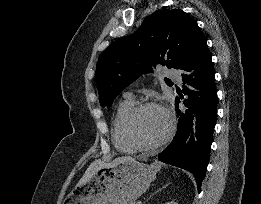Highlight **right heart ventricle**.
<instances>
[{
	"mask_svg": "<svg viewBox=\"0 0 261 204\" xmlns=\"http://www.w3.org/2000/svg\"><path fill=\"white\" fill-rule=\"evenodd\" d=\"M134 106V100L128 98L124 99L117 105L112 119L113 144L115 148L122 153L130 154L137 151V148L127 140L123 130L125 118Z\"/></svg>",
	"mask_w": 261,
	"mask_h": 204,
	"instance_id": "1",
	"label": "right heart ventricle"
}]
</instances>
